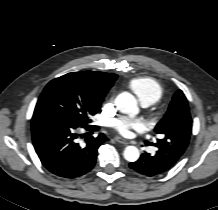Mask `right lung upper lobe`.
Instances as JSON below:
<instances>
[{"instance_id": "cb5924a9", "label": "right lung upper lobe", "mask_w": 218, "mask_h": 210, "mask_svg": "<svg viewBox=\"0 0 218 210\" xmlns=\"http://www.w3.org/2000/svg\"><path fill=\"white\" fill-rule=\"evenodd\" d=\"M56 79L73 89L102 101L117 79V75L99 71H82L68 73Z\"/></svg>"}]
</instances>
